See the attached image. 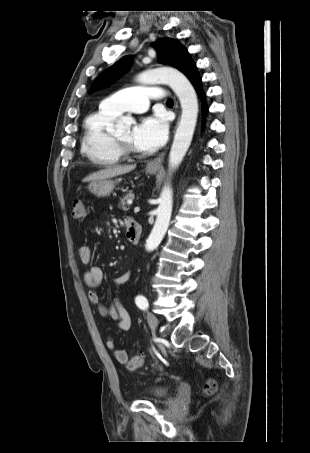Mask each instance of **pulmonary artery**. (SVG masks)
<instances>
[{"instance_id": "pulmonary-artery-1", "label": "pulmonary artery", "mask_w": 310, "mask_h": 453, "mask_svg": "<svg viewBox=\"0 0 310 453\" xmlns=\"http://www.w3.org/2000/svg\"><path fill=\"white\" fill-rule=\"evenodd\" d=\"M161 87H130L106 97L101 106L113 113L122 112L143 113L148 109L150 99H162Z\"/></svg>"}]
</instances>
